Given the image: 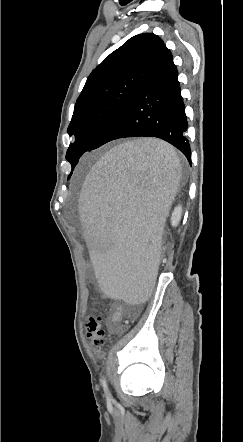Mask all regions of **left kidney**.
<instances>
[{
    "label": "left kidney",
    "mask_w": 243,
    "mask_h": 442,
    "mask_svg": "<svg viewBox=\"0 0 243 442\" xmlns=\"http://www.w3.org/2000/svg\"><path fill=\"white\" fill-rule=\"evenodd\" d=\"M181 216H182V206L178 205L174 208L171 215V225L173 227H176L179 224Z\"/></svg>",
    "instance_id": "obj_1"
}]
</instances>
